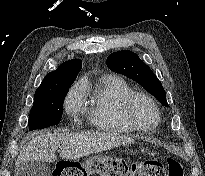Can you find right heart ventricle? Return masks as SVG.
Listing matches in <instances>:
<instances>
[{
    "instance_id": "right-heart-ventricle-1",
    "label": "right heart ventricle",
    "mask_w": 205,
    "mask_h": 176,
    "mask_svg": "<svg viewBox=\"0 0 205 176\" xmlns=\"http://www.w3.org/2000/svg\"><path fill=\"white\" fill-rule=\"evenodd\" d=\"M133 88L122 77H100L89 92L88 115L96 128L112 134H128L135 129L123 116V100Z\"/></svg>"
}]
</instances>
